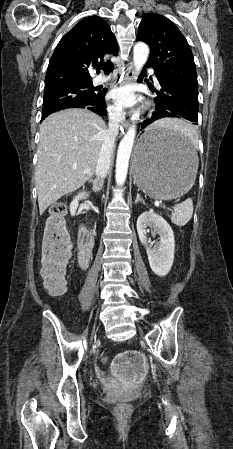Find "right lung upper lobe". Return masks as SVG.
<instances>
[{
    "mask_svg": "<svg viewBox=\"0 0 233 449\" xmlns=\"http://www.w3.org/2000/svg\"><path fill=\"white\" fill-rule=\"evenodd\" d=\"M105 54L118 55L109 25L98 16L81 20L58 43L47 68L44 91L92 83L89 68L103 62Z\"/></svg>",
    "mask_w": 233,
    "mask_h": 449,
    "instance_id": "obj_1",
    "label": "right lung upper lobe"
}]
</instances>
